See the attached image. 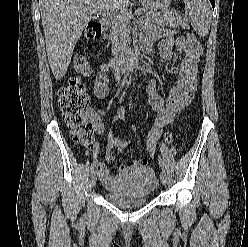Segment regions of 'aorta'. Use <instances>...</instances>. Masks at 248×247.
I'll return each mask as SVG.
<instances>
[{
	"label": "aorta",
	"mask_w": 248,
	"mask_h": 247,
	"mask_svg": "<svg viewBox=\"0 0 248 247\" xmlns=\"http://www.w3.org/2000/svg\"><path fill=\"white\" fill-rule=\"evenodd\" d=\"M131 81H132V78H131V76H129V79H128V81H127V84H128V85L131 84Z\"/></svg>",
	"instance_id": "obj_1"
}]
</instances>
